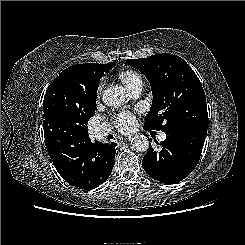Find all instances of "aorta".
Listing matches in <instances>:
<instances>
[{"label":"aorta","mask_w":245,"mask_h":245,"mask_svg":"<svg viewBox=\"0 0 245 245\" xmlns=\"http://www.w3.org/2000/svg\"><path fill=\"white\" fill-rule=\"evenodd\" d=\"M125 98V89L118 85L107 88L102 95V101L110 107L121 105L125 101ZM131 148L136 152L147 151L149 148L148 138L144 135H136L131 140Z\"/></svg>","instance_id":"obj_1"}]
</instances>
